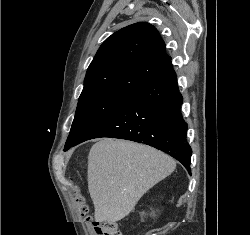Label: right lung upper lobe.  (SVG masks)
<instances>
[{
	"label": "right lung upper lobe",
	"mask_w": 250,
	"mask_h": 235,
	"mask_svg": "<svg viewBox=\"0 0 250 235\" xmlns=\"http://www.w3.org/2000/svg\"><path fill=\"white\" fill-rule=\"evenodd\" d=\"M171 65L157 29L138 22L109 36L97 51L80 98L94 94H134Z\"/></svg>",
	"instance_id": "right-lung-upper-lobe-1"
}]
</instances>
